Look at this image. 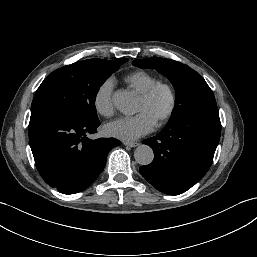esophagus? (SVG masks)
<instances>
[{
    "label": "esophagus",
    "instance_id": "obj_1",
    "mask_svg": "<svg viewBox=\"0 0 257 257\" xmlns=\"http://www.w3.org/2000/svg\"><path fill=\"white\" fill-rule=\"evenodd\" d=\"M123 144H124L125 146L132 147V148H133V147H137V146L139 145L138 142H127V141H124Z\"/></svg>",
    "mask_w": 257,
    "mask_h": 257
}]
</instances>
